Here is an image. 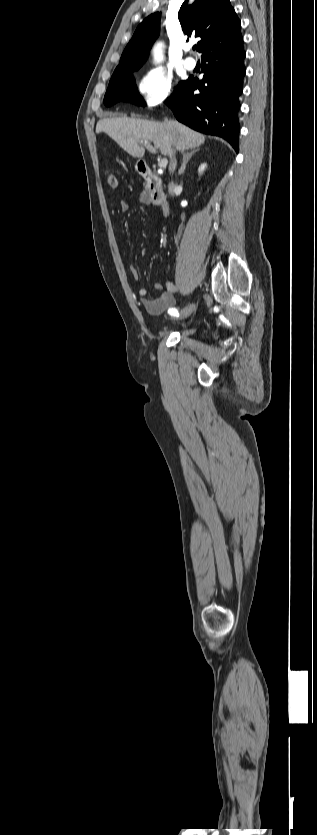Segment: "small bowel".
<instances>
[{
	"instance_id": "obj_1",
	"label": "small bowel",
	"mask_w": 317,
	"mask_h": 835,
	"mask_svg": "<svg viewBox=\"0 0 317 835\" xmlns=\"http://www.w3.org/2000/svg\"><path fill=\"white\" fill-rule=\"evenodd\" d=\"M135 201L139 203H145L147 201V196L145 194H140L136 196ZM129 209V201L122 200L120 202V210L122 212H127L129 211ZM130 272L134 280L139 279V270L136 265H131ZM153 288L156 291H162L161 294L154 299H148L146 297L148 293L146 287H140L138 290L140 302L144 309L151 315H158L166 309L169 310L173 308L175 304L174 294L177 291L176 285L172 281L167 280L164 285L161 282H155ZM164 288L165 291H163Z\"/></svg>"
}]
</instances>
